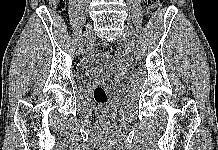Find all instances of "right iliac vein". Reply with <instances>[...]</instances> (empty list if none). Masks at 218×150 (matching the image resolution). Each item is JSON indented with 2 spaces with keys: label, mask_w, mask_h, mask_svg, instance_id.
<instances>
[{
  "label": "right iliac vein",
  "mask_w": 218,
  "mask_h": 150,
  "mask_svg": "<svg viewBox=\"0 0 218 150\" xmlns=\"http://www.w3.org/2000/svg\"><path fill=\"white\" fill-rule=\"evenodd\" d=\"M92 34H93L92 26L89 25V26H87L86 30L83 33V36H82V39H81L82 43L88 42L91 39Z\"/></svg>",
  "instance_id": "1"
}]
</instances>
